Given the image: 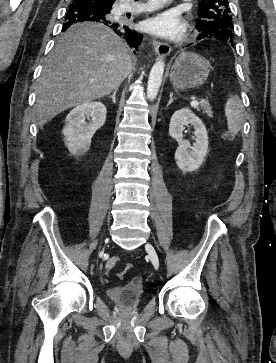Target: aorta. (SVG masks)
Instances as JSON below:
<instances>
[{
  "mask_svg": "<svg viewBox=\"0 0 276 363\" xmlns=\"http://www.w3.org/2000/svg\"><path fill=\"white\" fill-rule=\"evenodd\" d=\"M165 62L162 58L158 59L153 65L147 84V96L154 100L158 94L164 74Z\"/></svg>",
  "mask_w": 276,
  "mask_h": 363,
  "instance_id": "762f6f07",
  "label": "aorta"
}]
</instances>
